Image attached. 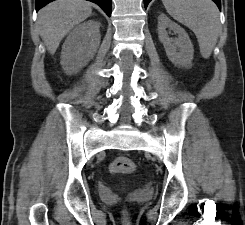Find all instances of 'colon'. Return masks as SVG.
<instances>
[{"label":"colon","mask_w":245,"mask_h":225,"mask_svg":"<svg viewBox=\"0 0 245 225\" xmlns=\"http://www.w3.org/2000/svg\"><path fill=\"white\" fill-rule=\"evenodd\" d=\"M136 162L128 157H118L110 164V171L113 174H127L136 170Z\"/></svg>","instance_id":"5ec220e1"}]
</instances>
